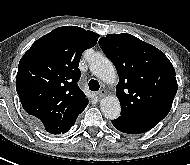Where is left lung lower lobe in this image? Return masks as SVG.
Returning a JSON list of instances; mask_svg holds the SVG:
<instances>
[{"label":"left lung lower lobe","mask_w":190,"mask_h":165,"mask_svg":"<svg viewBox=\"0 0 190 165\" xmlns=\"http://www.w3.org/2000/svg\"><path fill=\"white\" fill-rule=\"evenodd\" d=\"M112 123L117 130L128 134L144 133L157 125V122L134 120L123 116L112 120Z\"/></svg>","instance_id":"1"}]
</instances>
